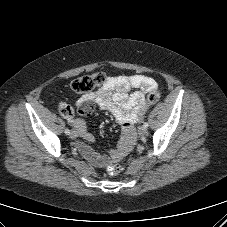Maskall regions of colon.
Segmentation results:
<instances>
[{"instance_id":"1","label":"colon","mask_w":227,"mask_h":227,"mask_svg":"<svg viewBox=\"0 0 227 227\" xmlns=\"http://www.w3.org/2000/svg\"><path fill=\"white\" fill-rule=\"evenodd\" d=\"M107 78L103 72H96L91 75L79 77L72 81L71 88L77 94H87L92 92L95 88L102 86L106 82ZM160 97V91L156 89L151 92L148 97L144 110L146 111L151 105L156 103ZM59 111L64 117H71L73 115V109L66 103H61ZM122 171V167L118 163H113L108 166L107 172L111 176H117Z\"/></svg>"}]
</instances>
